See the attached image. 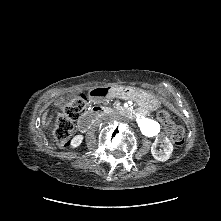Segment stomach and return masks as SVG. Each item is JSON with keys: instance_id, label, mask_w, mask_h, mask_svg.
<instances>
[{"instance_id": "0dacf381", "label": "stomach", "mask_w": 221, "mask_h": 221, "mask_svg": "<svg viewBox=\"0 0 221 221\" xmlns=\"http://www.w3.org/2000/svg\"><path fill=\"white\" fill-rule=\"evenodd\" d=\"M117 92L122 97L133 98L147 107H152L158 104L157 98L152 93L147 91L132 87H119Z\"/></svg>"}]
</instances>
